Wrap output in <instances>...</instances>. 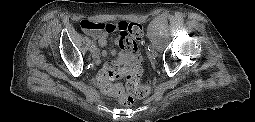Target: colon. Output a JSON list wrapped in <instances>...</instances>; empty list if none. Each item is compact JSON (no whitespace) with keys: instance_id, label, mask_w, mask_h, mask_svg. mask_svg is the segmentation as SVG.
Masks as SVG:
<instances>
[{"instance_id":"5ec220e1","label":"colon","mask_w":255,"mask_h":122,"mask_svg":"<svg viewBox=\"0 0 255 122\" xmlns=\"http://www.w3.org/2000/svg\"><path fill=\"white\" fill-rule=\"evenodd\" d=\"M82 31L86 33L107 32L112 33L116 30L132 37L137 43H141L143 28L139 23H111L82 20L79 23ZM141 68L138 65L124 67L117 62L107 64L100 72L98 82L101 89L105 92L116 94L119 102L126 107L133 105L136 98H143L150 93L151 82L141 81ZM124 79L126 81L127 93L121 90L119 85L112 86V82Z\"/></svg>"}]
</instances>
